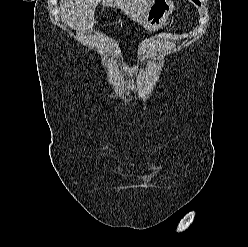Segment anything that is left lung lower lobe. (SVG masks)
Segmentation results:
<instances>
[{
	"mask_svg": "<svg viewBox=\"0 0 248 247\" xmlns=\"http://www.w3.org/2000/svg\"><path fill=\"white\" fill-rule=\"evenodd\" d=\"M197 5H201L199 0H193Z\"/></svg>",
	"mask_w": 248,
	"mask_h": 247,
	"instance_id": "left-lung-lower-lobe-1",
	"label": "left lung lower lobe"
}]
</instances>
